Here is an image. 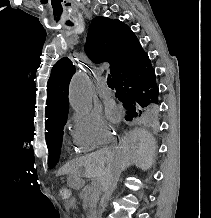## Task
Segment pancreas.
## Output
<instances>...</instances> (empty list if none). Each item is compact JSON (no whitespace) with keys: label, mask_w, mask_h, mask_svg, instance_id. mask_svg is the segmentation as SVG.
I'll list each match as a JSON object with an SVG mask.
<instances>
[{"label":"pancreas","mask_w":211,"mask_h":218,"mask_svg":"<svg viewBox=\"0 0 211 218\" xmlns=\"http://www.w3.org/2000/svg\"><path fill=\"white\" fill-rule=\"evenodd\" d=\"M81 194V199L85 200V205H93L96 208V205H98V200L96 199L101 196L96 186H86V190H82Z\"/></svg>","instance_id":"cf45deb5"}]
</instances>
